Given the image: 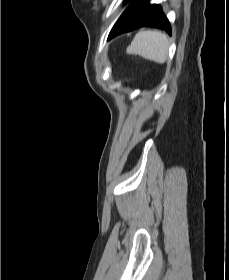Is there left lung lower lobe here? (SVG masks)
I'll list each match as a JSON object with an SVG mask.
<instances>
[{
    "instance_id": "obj_1",
    "label": "left lung lower lobe",
    "mask_w": 229,
    "mask_h": 280,
    "mask_svg": "<svg viewBox=\"0 0 229 280\" xmlns=\"http://www.w3.org/2000/svg\"><path fill=\"white\" fill-rule=\"evenodd\" d=\"M155 27L171 35V27L159 5L149 4V0H133L113 26L108 40L140 27Z\"/></svg>"
}]
</instances>
